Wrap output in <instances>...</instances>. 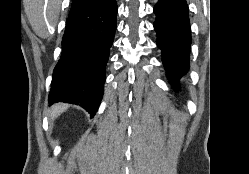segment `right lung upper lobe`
<instances>
[{
    "label": "right lung upper lobe",
    "instance_id": "obj_1",
    "mask_svg": "<svg viewBox=\"0 0 249 174\" xmlns=\"http://www.w3.org/2000/svg\"><path fill=\"white\" fill-rule=\"evenodd\" d=\"M99 0H72L71 11L78 10Z\"/></svg>",
    "mask_w": 249,
    "mask_h": 174
}]
</instances>
